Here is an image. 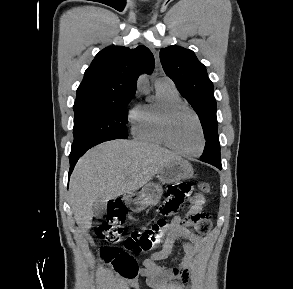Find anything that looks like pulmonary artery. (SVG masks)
<instances>
[{"label":"pulmonary artery","mask_w":293,"mask_h":289,"mask_svg":"<svg viewBox=\"0 0 293 289\" xmlns=\"http://www.w3.org/2000/svg\"><path fill=\"white\" fill-rule=\"evenodd\" d=\"M174 86L172 80L168 77H162L156 80L155 87Z\"/></svg>","instance_id":"pulmonary-artery-1"}]
</instances>
